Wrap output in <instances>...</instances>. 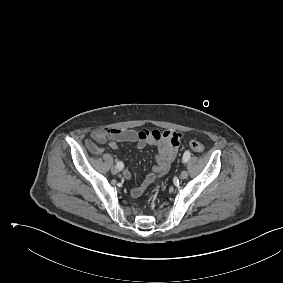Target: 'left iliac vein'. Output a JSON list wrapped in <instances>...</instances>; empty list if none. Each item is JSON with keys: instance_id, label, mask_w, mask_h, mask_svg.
I'll use <instances>...</instances> for the list:
<instances>
[{"instance_id": "obj_1", "label": "left iliac vein", "mask_w": 283, "mask_h": 283, "mask_svg": "<svg viewBox=\"0 0 283 283\" xmlns=\"http://www.w3.org/2000/svg\"><path fill=\"white\" fill-rule=\"evenodd\" d=\"M180 177H181V179H186L188 177V172L186 170H183L180 173Z\"/></svg>"}]
</instances>
